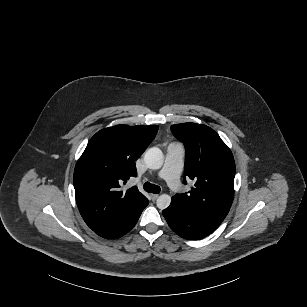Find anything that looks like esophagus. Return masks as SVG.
Here are the masks:
<instances>
[{
    "instance_id": "34e87169",
    "label": "esophagus",
    "mask_w": 307,
    "mask_h": 307,
    "mask_svg": "<svg viewBox=\"0 0 307 307\" xmlns=\"http://www.w3.org/2000/svg\"><path fill=\"white\" fill-rule=\"evenodd\" d=\"M158 196L159 195H157V194H152V193L150 194L152 201H155L158 198Z\"/></svg>"
}]
</instances>
